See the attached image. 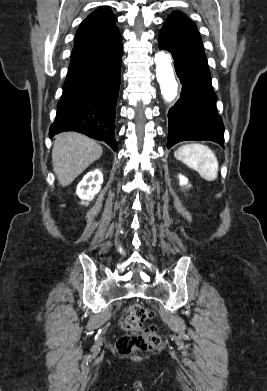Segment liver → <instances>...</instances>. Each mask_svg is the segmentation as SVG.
I'll list each match as a JSON object with an SVG mask.
<instances>
[{"mask_svg":"<svg viewBox=\"0 0 267 391\" xmlns=\"http://www.w3.org/2000/svg\"><path fill=\"white\" fill-rule=\"evenodd\" d=\"M102 152V147L85 135L65 132L55 136L52 164L59 184H71Z\"/></svg>","mask_w":267,"mask_h":391,"instance_id":"1","label":"liver"}]
</instances>
